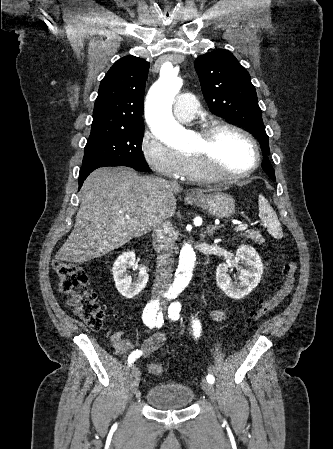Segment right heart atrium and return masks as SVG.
Listing matches in <instances>:
<instances>
[{"label":"right heart atrium","instance_id":"1","mask_svg":"<svg viewBox=\"0 0 333 449\" xmlns=\"http://www.w3.org/2000/svg\"><path fill=\"white\" fill-rule=\"evenodd\" d=\"M146 163L159 175L167 178H181L185 157L152 132H145L140 145Z\"/></svg>","mask_w":333,"mask_h":449}]
</instances>
